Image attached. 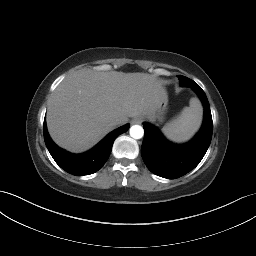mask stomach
Wrapping results in <instances>:
<instances>
[{
  "mask_svg": "<svg viewBox=\"0 0 256 256\" xmlns=\"http://www.w3.org/2000/svg\"><path fill=\"white\" fill-rule=\"evenodd\" d=\"M167 109H168V98L166 97L158 103V105L155 108V111L147 118L152 121L158 120L162 122Z\"/></svg>",
  "mask_w": 256,
  "mask_h": 256,
  "instance_id": "stomach-1",
  "label": "stomach"
}]
</instances>
